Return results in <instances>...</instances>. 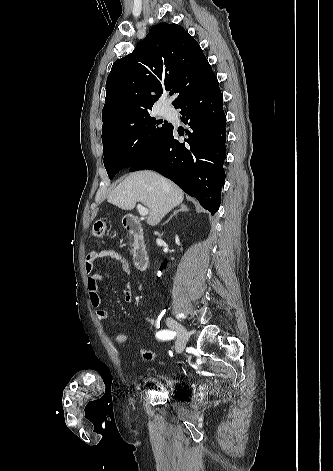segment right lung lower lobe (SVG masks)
<instances>
[{
  "label": "right lung lower lobe",
  "mask_w": 333,
  "mask_h": 471,
  "mask_svg": "<svg viewBox=\"0 0 333 471\" xmlns=\"http://www.w3.org/2000/svg\"><path fill=\"white\" fill-rule=\"evenodd\" d=\"M182 122L190 126L185 143L173 126L162 141L130 171L155 170L197 198L211 214L220 206L225 182L226 116L218 80L212 72L198 82L176 106Z\"/></svg>",
  "instance_id": "1"
}]
</instances>
